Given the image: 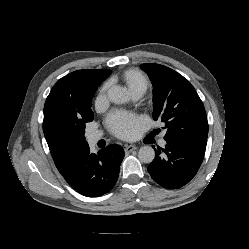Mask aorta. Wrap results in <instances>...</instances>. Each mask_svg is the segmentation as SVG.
Returning a JSON list of instances; mask_svg holds the SVG:
<instances>
[{
  "label": "aorta",
  "instance_id": "obj_1",
  "mask_svg": "<svg viewBox=\"0 0 249 249\" xmlns=\"http://www.w3.org/2000/svg\"><path fill=\"white\" fill-rule=\"evenodd\" d=\"M107 96L115 104H124L129 101L128 92L120 86L111 87ZM138 158L143 163H151L155 158V151L151 146H142L138 151Z\"/></svg>",
  "mask_w": 249,
  "mask_h": 249
}]
</instances>
